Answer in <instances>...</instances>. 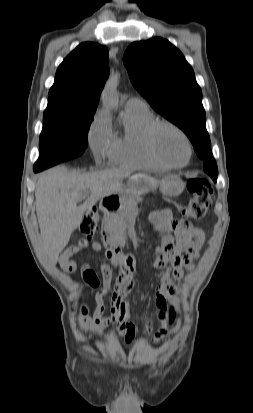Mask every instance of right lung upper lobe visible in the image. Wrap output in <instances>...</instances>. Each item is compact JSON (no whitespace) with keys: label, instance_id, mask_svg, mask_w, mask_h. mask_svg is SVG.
<instances>
[{"label":"right lung upper lobe","instance_id":"obj_1","mask_svg":"<svg viewBox=\"0 0 253 413\" xmlns=\"http://www.w3.org/2000/svg\"><path fill=\"white\" fill-rule=\"evenodd\" d=\"M108 75L107 48L92 42L80 44L58 67L44 116L94 114Z\"/></svg>","mask_w":253,"mask_h":413}]
</instances>
